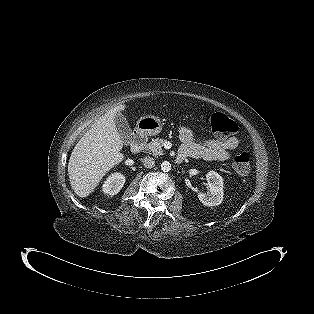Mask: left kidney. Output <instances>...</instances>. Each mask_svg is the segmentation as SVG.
Masks as SVG:
<instances>
[{
	"instance_id": "left-kidney-1",
	"label": "left kidney",
	"mask_w": 314,
	"mask_h": 314,
	"mask_svg": "<svg viewBox=\"0 0 314 314\" xmlns=\"http://www.w3.org/2000/svg\"><path fill=\"white\" fill-rule=\"evenodd\" d=\"M209 185V194L199 192V200L208 207L218 206L223 200V178L215 171H209L206 175Z\"/></svg>"
}]
</instances>
